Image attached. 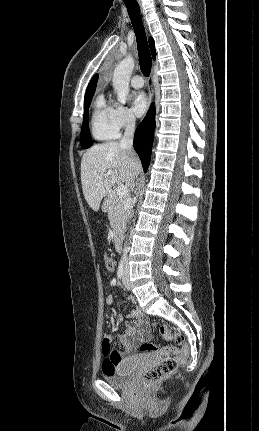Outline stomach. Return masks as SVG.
<instances>
[{
  "label": "stomach",
  "instance_id": "1",
  "mask_svg": "<svg viewBox=\"0 0 259 431\" xmlns=\"http://www.w3.org/2000/svg\"><path fill=\"white\" fill-rule=\"evenodd\" d=\"M107 208V206H104L103 209L105 210Z\"/></svg>",
  "mask_w": 259,
  "mask_h": 431
}]
</instances>
